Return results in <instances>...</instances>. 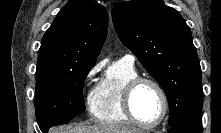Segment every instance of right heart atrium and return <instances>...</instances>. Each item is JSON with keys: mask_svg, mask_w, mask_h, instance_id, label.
Listing matches in <instances>:
<instances>
[{"mask_svg": "<svg viewBox=\"0 0 221 133\" xmlns=\"http://www.w3.org/2000/svg\"><path fill=\"white\" fill-rule=\"evenodd\" d=\"M99 70H100V65L99 64L94 65L88 71V73L86 75V81H91L96 76V74L99 72Z\"/></svg>", "mask_w": 221, "mask_h": 133, "instance_id": "right-heart-atrium-1", "label": "right heart atrium"}]
</instances>
